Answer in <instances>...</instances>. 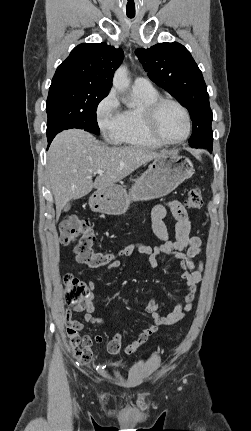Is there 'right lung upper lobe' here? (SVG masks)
Masks as SVG:
<instances>
[{"mask_svg": "<svg viewBox=\"0 0 251 431\" xmlns=\"http://www.w3.org/2000/svg\"><path fill=\"white\" fill-rule=\"evenodd\" d=\"M124 54L121 48L106 43H82L60 64L52 81L70 79L93 87L110 90L115 70Z\"/></svg>", "mask_w": 251, "mask_h": 431, "instance_id": "1", "label": "right lung upper lobe"}]
</instances>
